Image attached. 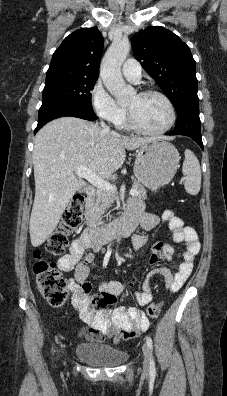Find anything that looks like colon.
Segmentation results:
<instances>
[{
	"label": "colon",
	"instance_id": "colon-1",
	"mask_svg": "<svg viewBox=\"0 0 227 396\" xmlns=\"http://www.w3.org/2000/svg\"><path fill=\"white\" fill-rule=\"evenodd\" d=\"M84 199L76 195L66 208L62 220L46 242V250L54 256L62 255L69 243V237L80 227L83 220ZM34 273L37 287L43 298L53 307L62 308L68 298V285L56 269L55 264L41 258L39 250L34 253ZM161 310L159 303L148 305L146 312L156 317Z\"/></svg>",
	"mask_w": 227,
	"mask_h": 396
}]
</instances>
